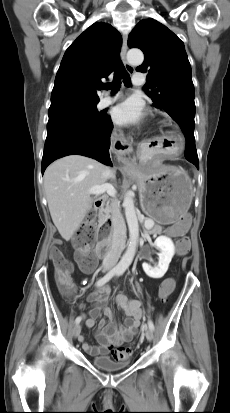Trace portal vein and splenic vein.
Here are the masks:
<instances>
[{"instance_id":"obj_1","label":"portal vein and splenic vein","mask_w":230,"mask_h":413,"mask_svg":"<svg viewBox=\"0 0 230 413\" xmlns=\"http://www.w3.org/2000/svg\"><path fill=\"white\" fill-rule=\"evenodd\" d=\"M103 193H107L109 196L115 197L116 190H115L114 186L111 185V184L96 185V186H93L89 190V194H93V195H100V194H103ZM151 224H153L152 221H151Z\"/></svg>"}]
</instances>
